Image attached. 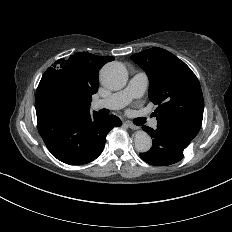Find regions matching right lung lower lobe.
I'll list each match as a JSON object with an SVG mask.
<instances>
[{
    "label": "right lung lower lobe",
    "instance_id": "right-lung-lower-lobe-1",
    "mask_svg": "<svg viewBox=\"0 0 232 232\" xmlns=\"http://www.w3.org/2000/svg\"><path fill=\"white\" fill-rule=\"evenodd\" d=\"M38 131L48 150L58 160L81 165L96 159L103 151L106 136L121 125L114 115L102 116L88 110L59 105L36 108Z\"/></svg>",
    "mask_w": 232,
    "mask_h": 232
}]
</instances>
